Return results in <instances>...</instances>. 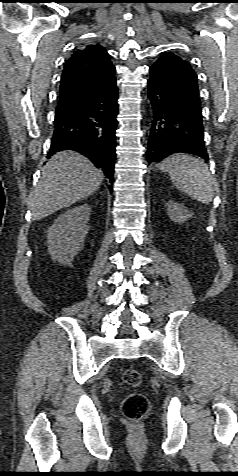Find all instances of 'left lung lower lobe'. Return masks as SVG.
Listing matches in <instances>:
<instances>
[{
  "label": "left lung lower lobe",
  "instance_id": "0a47b994",
  "mask_svg": "<svg viewBox=\"0 0 238 476\" xmlns=\"http://www.w3.org/2000/svg\"><path fill=\"white\" fill-rule=\"evenodd\" d=\"M148 97L153 121L148 140V163L174 153H191L208 159L199 96L178 87L161 71L150 67Z\"/></svg>",
  "mask_w": 238,
  "mask_h": 476
}]
</instances>
